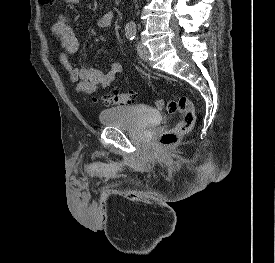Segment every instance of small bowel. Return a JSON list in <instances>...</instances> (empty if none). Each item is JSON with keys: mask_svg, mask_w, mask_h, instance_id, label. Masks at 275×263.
Wrapping results in <instances>:
<instances>
[{"mask_svg": "<svg viewBox=\"0 0 275 263\" xmlns=\"http://www.w3.org/2000/svg\"><path fill=\"white\" fill-rule=\"evenodd\" d=\"M67 3H78L79 0H65ZM114 20L113 12L101 14L96 20L98 28H108ZM53 33L59 38L62 53L60 55V63L66 70L68 77L72 83L76 85V91L79 93L93 94L100 89L109 86L122 72V64L113 61L110 64L108 72L103 73L96 68L78 67L71 62V55L80 49V40L67 17L58 18L52 26Z\"/></svg>", "mask_w": 275, "mask_h": 263, "instance_id": "small-bowel-1", "label": "small bowel"}]
</instances>
